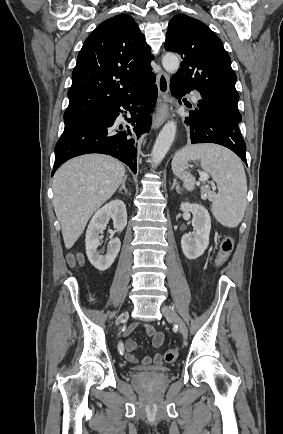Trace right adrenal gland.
Returning <instances> with one entry per match:
<instances>
[{
	"label": "right adrenal gland",
	"mask_w": 283,
	"mask_h": 434,
	"mask_svg": "<svg viewBox=\"0 0 283 434\" xmlns=\"http://www.w3.org/2000/svg\"><path fill=\"white\" fill-rule=\"evenodd\" d=\"M126 180H127V175L124 176L121 187L119 188V193H122L123 190L125 191V193H127V189H126V185H125Z\"/></svg>",
	"instance_id": "1"
}]
</instances>
